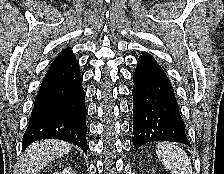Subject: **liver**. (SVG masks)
Masks as SVG:
<instances>
[{
    "instance_id": "6515ba94",
    "label": "liver",
    "mask_w": 224,
    "mask_h": 174,
    "mask_svg": "<svg viewBox=\"0 0 224 174\" xmlns=\"http://www.w3.org/2000/svg\"><path fill=\"white\" fill-rule=\"evenodd\" d=\"M70 149L71 144L56 139L36 141L21 156L19 174H37L55 158L68 153Z\"/></svg>"
}]
</instances>
